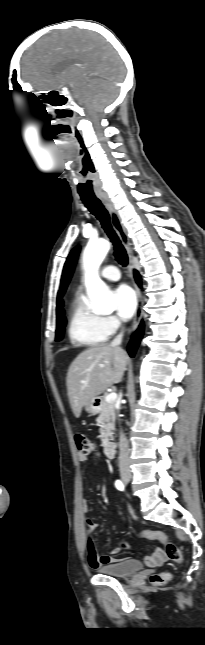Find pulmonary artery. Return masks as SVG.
Wrapping results in <instances>:
<instances>
[{
  "label": "pulmonary artery",
  "mask_w": 205,
  "mask_h": 645,
  "mask_svg": "<svg viewBox=\"0 0 205 645\" xmlns=\"http://www.w3.org/2000/svg\"><path fill=\"white\" fill-rule=\"evenodd\" d=\"M101 276L110 281H117L120 279V272L117 267L110 265L102 269Z\"/></svg>",
  "instance_id": "obj_1"
}]
</instances>
